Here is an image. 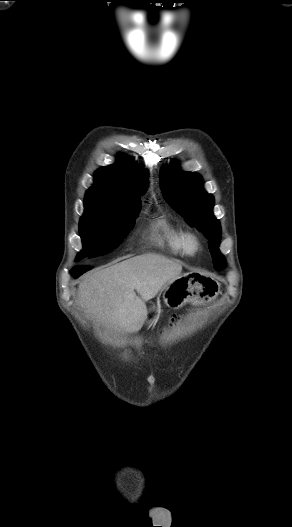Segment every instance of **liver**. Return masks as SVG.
<instances>
[{
	"label": "liver",
	"mask_w": 292,
	"mask_h": 527,
	"mask_svg": "<svg viewBox=\"0 0 292 527\" xmlns=\"http://www.w3.org/2000/svg\"><path fill=\"white\" fill-rule=\"evenodd\" d=\"M181 271L178 261L152 253L138 255L87 275L79 284V303L106 326L138 332L147 318L145 302Z\"/></svg>",
	"instance_id": "obj_1"
}]
</instances>
